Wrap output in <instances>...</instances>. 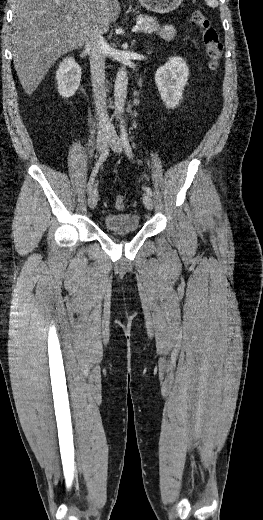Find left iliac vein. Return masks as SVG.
Listing matches in <instances>:
<instances>
[{"label":"left iliac vein","mask_w":263,"mask_h":520,"mask_svg":"<svg viewBox=\"0 0 263 520\" xmlns=\"http://www.w3.org/2000/svg\"><path fill=\"white\" fill-rule=\"evenodd\" d=\"M109 145L111 147V149L116 152V153H120L122 151V146H123V143H122V140L119 138V136L117 135L116 131L114 129H112L109 133ZM143 203H144V206L148 209V210H152L153 209V201H152V198L150 195L148 194H145L143 196Z\"/></svg>","instance_id":"obj_1"}]
</instances>
